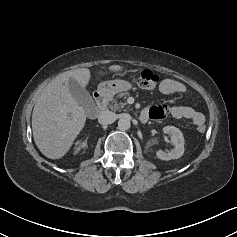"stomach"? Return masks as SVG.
<instances>
[{
  "label": "stomach",
  "mask_w": 237,
  "mask_h": 237,
  "mask_svg": "<svg viewBox=\"0 0 237 237\" xmlns=\"http://www.w3.org/2000/svg\"><path fill=\"white\" fill-rule=\"evenodd\" d=\"M132 85L121 79L109 80L99 84L98 91L107 97H113L123 91L131 89Z\"/></svg>",
  "instance_id": "1"
}]
</instances>
